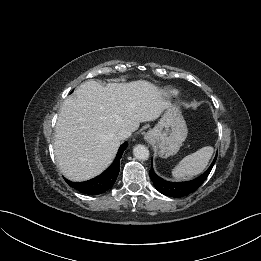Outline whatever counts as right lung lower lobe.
<instances>
[{
    "instance_id": "98d812e1",
    "label": "right lung lower lobe",
    "mask_w": 261,
    "mask_h": 261,
    "mask_svg": "<svg viewBox=\"0 0 261 261\" xmlns=\"http://www.w3.org/2000/svg\"><path fill=\"white\" fill-rule=\"evenodd\" d=\"M127 146V142L120 146L114 162L101 175L85 182H71L67 179H65V181L71 187L84 194L98 195L106 192L111 189L116 182L119 173L120 158L122 157L123 151L127 148Z\"/></svg>"
}]
</instances>
